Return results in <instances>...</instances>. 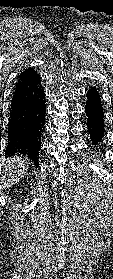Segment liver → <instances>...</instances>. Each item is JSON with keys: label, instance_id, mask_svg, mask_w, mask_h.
Masks as SVG:
<instances>
[{"label": "liver", "instance_id": "6515ba94", "mask_svg": "<svg viewBox=\"0 0 113 279\" xmlns=\"http://www.w3.org/2000/svg\"><path fill=\"white\" fill-rule=\"evenodd\" d=\"M30 160L27 157L7 158L0 175V189H7L17 183L27 172Z\"/></svg>", "mask_w": 113, "mask_h": 279}]
</instances>
